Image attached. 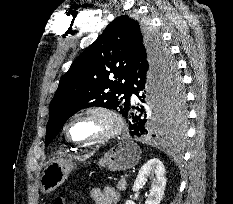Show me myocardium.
I'll return each instance as SVG.
<instances>
[{"label":"myocardium","instance_id":"1","mask_svg":"<svg viewBox=\"0 0 233 204\" xmlns=\"http://www.w3.org/2000/svg\"><path fill=\"white\" fill-rule=\"evenodd\" d=\"M91 115L101 116L105 118L106 120H108L110 123L109 130L102 136L96 139H93V140L79 141V140L73 139L69 133L70 125L76 119L80 117L91 116ZM123 129H124V120L122 116L116 110L110 107H107V106L94 105V106L83 108L75 112L74 114H72L66 121L63 131H64L66 138L70 142L78 144V145H82V146H93V145L104 144L112 140L113 138L117 137L123 131Z\"/></svg>","mask_w":233,"mask_h":204}]
</instances>
